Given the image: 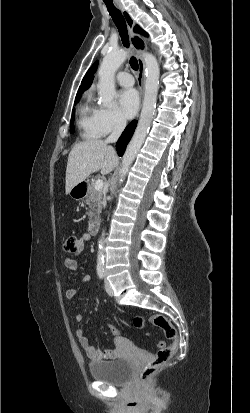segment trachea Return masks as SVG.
<instances>
[{"label": "trachea", "mask_w": 250, "mask_h": 413, "mask_svg": "<svg viewBox=\"0 0 250 413\" xmlns=\"http://www.w3.org/2000/svg\"><path fill=\"white\" fill-rule=\"evenodd\" d=\"M105 4H106V7L108 9L110 16L112 17L115 25L118 28L123 45L128 48L129 47L128 31H127L126 22H125L123 15L121 14L120 10L114 6L113 3L105 2ZM130 65L132 69L138 70V61L135 57L130 58Z\"/></svg>", "instance_id": "3493384b"}]
</instances>
